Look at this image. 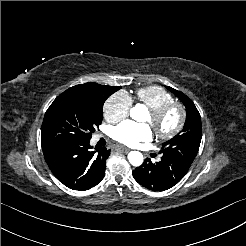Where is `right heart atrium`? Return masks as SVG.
I'll return each mask as SVG.
<instances>
[{"instance_id":"d8ad5b80","label":"right heart atrium","mask_w":246,"mask_h":246,"mask_svg":"<svg viewBox=\"0 0 246 246\" xmlns=\"http://www.w3.org/2000/svg\"><path fill=\"white\" fill-rule=\"evenodd\" d=\"M131 106V96L126 91H118L105 101L103 105L104 117L108 122H119L128 116Z\"/></svg>"}]
</instances>
